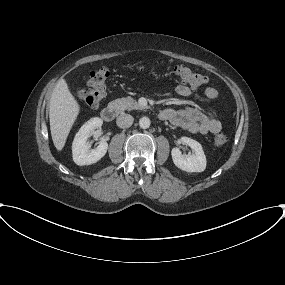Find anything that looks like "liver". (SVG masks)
I'll list each match as a JSON object with an SVG mask.
<instances>
[{
	"label": "liver",
	"mask_w": 285,
	"mask_h": 285,
	"mask_svg": "<svg viewBox=\"0 0 285 285\" xmlns=\"http://www.w3.org/2000/svg\"><path fill=\"white\" fill-rule=\"evenodd\" d=\"M79 112L80 106L67 82L60 79L52 92L49 104L50 131L54 146L58 151L65 146Z\"/></svg>",
	"instance_id": "1"
}]
</instances>
